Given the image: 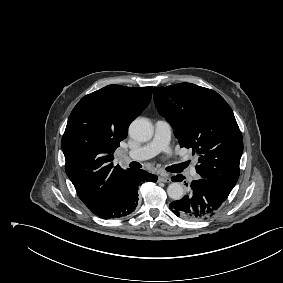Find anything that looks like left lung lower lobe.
<instances>
[{
	"mask_svg": "<svg viewBox=\"0 0 283 283\" xmlns=\"http://www.w3.org/2000/svg\"><path fill=\"white\" fill-rule=\"evenodd\" d=\"M184 179L181 174L172 177V181ZM230 192V189L219 183L200 178L192 181L190 192L180 200L171 202L169 208L177 217L184 220H204L217 212Z\"/></svg>",
	"mask_w": 283,
	"mask_h": 283,
	"instance_id": "0a47b994",
	"label": "left lung lower lobe"
}]
</instances>
